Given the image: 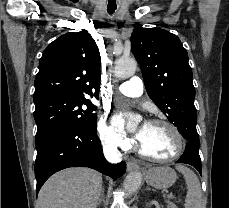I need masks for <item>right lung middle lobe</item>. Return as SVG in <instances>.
Listing matches in <instances>:
<instances>
[{
	"label": "right lung middle lobe",
	"instance_id": "dd1d6c3e",
	"mask_svg": "<svg viewBox=\"0 0 229 208\" xmlns=\"http://www.w3.org/2000/svg\"><path fill=\"white\" fill-rule=\"evenodd\" d=\"M36 139L62 125L96 130V106L88 98L74 95H50L34 101Z\"/></svg>",
	"mask_w": 229,
	"mask_h": 208
}]
</instances>
